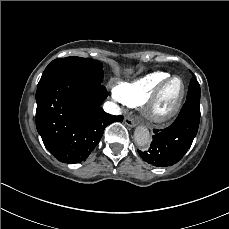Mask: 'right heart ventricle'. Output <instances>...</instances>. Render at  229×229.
<instances>
[{
    "label": "right heart ventricle",
    "mask_w": 229,
    "mask_h": 229,
    "mask_svg": "<svg viewBox=\"0 0 229 229\" xmlns=\"http://www.w3.org/2000/svg\"><path fill=\"white\" fill-rule=\"evenodd\" d=\"M166 77L172 75L166 71H152L136 78L121 81L114 89L115 95L127 104H136L143 102L152 88Z\"/></svg>",
    "instance_id": "e07e8e85"
}]
</instances>
